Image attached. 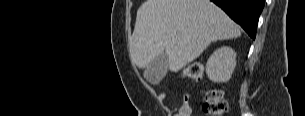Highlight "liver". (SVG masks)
Listing matches in <instances>:
<instances>
[{
    "instance_id": "liver-1",
    "label": "liver",
    "mask_w": 305,
    "mask_h": 116,
    "mask_svg": "<svg viewBox=\"0 0 305 116\" xmlns=\"http://www.w3.org/2000/svg\"><path fill=\"white\" fill-rule=\"evenodd\" d=\"M239 26L210 0H146L138 9L130 52L139 68L159 54L178 72L217 40L237 38Z\"/></svg>"
}]
</instances>
